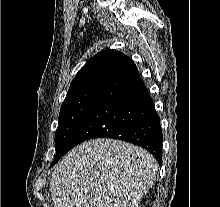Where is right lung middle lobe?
Here are the masks:
<instances>
[{"mask_svg": "<svg viewBox=\"0 0 220 207\" xmlns=\"http://www.w3.org/2000/svg\"><path fill=\"white\" fill-rule=\"evenodd\" d=\"M104 81H94L68 91L59 113L58 128L55 133L56 155L53 166L67 151L69 140L87 114Z\"/></svg>", "mask_w": 220, "mask_h": 207, "instance_id": "dd1d6c3e", "label": "right lung middle lobe"}]
</instances>
